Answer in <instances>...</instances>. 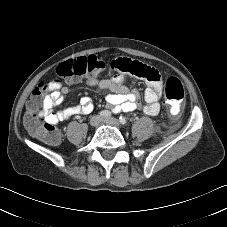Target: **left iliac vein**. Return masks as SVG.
Instances as JSON below:
<instances>
[{"label":"left iliac vein","mask_w":227,"mask_h":227,"mask_svg":"<svg viewBox=\"0 0 227 227\" xmlns=\"http://www.w3.org/2000/svg\"><path fill=\"white\" fill-rule=\"evenodd\" d=\"M101 121L111 126H115V127L120 126V122L116 118H102Z\"/></svg>","instance_id":"left-iliac-vein-1"}]
</instances>
